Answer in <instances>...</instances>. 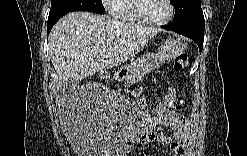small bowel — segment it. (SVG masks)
<instances>
[{"label": "small bowel", "mask_w": 247, "mask_h": 156, "mask_svg": "<svg viewBox=\"0 0 247 156\" xmlns=\"http://www.w3.org/2000/svg\"><path fill=\"white\" fill-rule=\"evenodd\" d=\"M173 101H174V106H171L172 112H165L167 113V118H164V120L161 121L160 124H152L150 117L146 118L147 124L151 125L152 127L153 125H163L169 127L170 129L173 130L172 135L160 136L158 133L155 137L149 138L145 134L141 138V141L147 142L151 140H160L169 146L171 155H183L186 149L185 142L188 135V125L184 117L181 114L176 113L174 111L175 98L173 99Z\"/></svg>", "instance_id": "small-bowel-1"}]
</instances>
